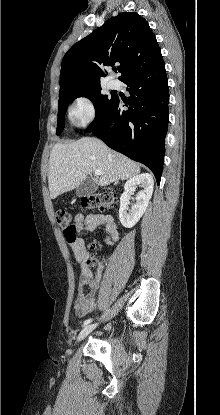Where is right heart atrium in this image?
Segmentation results:
<instances>
[{
  "label": "right heart atrium",
  "mask_w": 220,
  "mask_h": 415,
  "mask_svg": "<svg viewBox=\"0 0 220 415\" xmlns=\"http://www.w3.org/2000/svg\"><path fill=\"white\" fill-rule=\"evenodd\" d=\"M97 115L94 101L88 96H80L69 110L72 123L78 127H85L92 123Z\"/></svg>",
  "instance_id": "right-heart-atrium-1"
}]
</instances>
